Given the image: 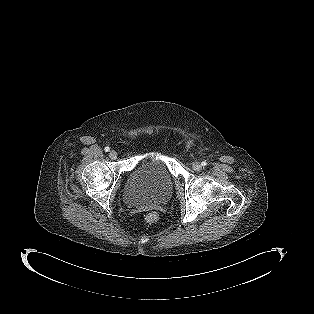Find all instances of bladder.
Returning a JSON list of instances; mask_svg holds the SVG:
<instances>
[{"mask_svg": "<svg viewBox=\"0 0 314 314\" xmlns=\"http://www.w3.org/2000/svg\"><path fill=\"white\" fill-rule=\"evenodd\" d=\"M173 192V180L161 156L141 162L123 187V200L131 207H153L166 203Z\"/></svg>", "mask_w": 314, "mask_h": 314, "instance_id": "31cf9c89", "label": "bladder"}]
</instances>
